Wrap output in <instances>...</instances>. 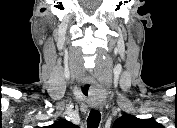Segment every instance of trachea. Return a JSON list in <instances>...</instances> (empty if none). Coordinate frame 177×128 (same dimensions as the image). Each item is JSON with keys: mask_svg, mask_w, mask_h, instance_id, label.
I'll return each mask as SVG.
<instances>
[{"mask_svg": "<svg viewBox=\"0 0 177 128\" xmlns=\"http://www.w3.org/2000/svg\"><path fill=\"white\" fill-rule=\"evenodd\" d=\"M101 120V114L98 110L92 109L87 119L88 128H98Z\"/></svg>", "mask_w": 177, "mask_h": 128, "instance_id": "obj_1", "label": "trachea"}]
</instances>
